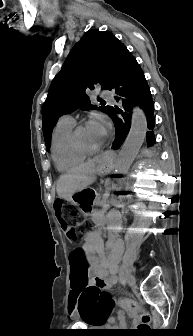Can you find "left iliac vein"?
I'll list each match as a JSON object with an SVG mask.
<instances>
[{
    "label": "left iliac vein",
    "mask_w": 193,
    "mask_h": 336,
    "mask_svg": "<svg viewBox=\"0 0 193 336\" xmlns=\"http://www.w3.org/2000/svg\"><path fill=\"white\" fill-rule=\"evenodd\" d=\"M126 281L130 287H134L136 284V278L131 272L127 273Z\"/></svg>",
    "instance_id": "1"
}]
</instances>
